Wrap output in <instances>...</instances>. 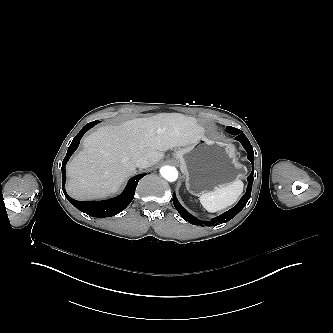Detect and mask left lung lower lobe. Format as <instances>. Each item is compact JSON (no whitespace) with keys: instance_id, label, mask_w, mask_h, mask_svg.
<instances>
[{"instance_id":"left-lung-lower-lobe-1","label":"left lung lower lobe","mask_w":333,"mask_h":333,"mask_svg":"<svg viewBox=\"0 0 333 333\" xmlns=\"http://www.w3.org/2000/svg\"><path fill=\"white\" fill-rule=\"evenodd\" d=\"M226 130L230 134L236 135L235 140L241 142L242 146L248 153V159L250 160V162L253 165L254 164L253 148H252V145L250 144L249 140L245 136V134L241 130L236 129L231 126H227ZM253 172H254V169L252 170L251 174L247 177L248 186H247L246 193L243 195V197L240 199V201L237 203V205L234 206L233 208H231L230 210L226 211L225 213L215 217L211 221H201V220H198L197 218H195L194 216H192L186 209H184L181 206V204L179 203V201L177 200V198L175 196V193L173 196L174 206L177 209V211L179 212V214L182 216V218L193 225L217 226L219 224L228 222L245 207L246 203L250 199L252 184H253Z\"/></svg>"}]
</instances>
